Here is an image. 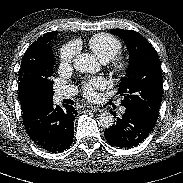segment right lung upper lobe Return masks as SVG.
<instances>
[{"instance_id": "cb5924a9", "label": "right lung upper lobe", "mask_w": 183, "mask_h": 183, "mask_svg": "<svg viewBox=\"0 0 183 183\" xmlns=\"http://www.w3.org/2000/svg\"><path fill=\"white\" fill-rule=\"evenodd\" d=\"M57 31L48 32L40 36L25 52L18 74L20 88L27 81L40 72V63L43 57L51 51L50 42L56 37Z\"/></svg>"}]
</instances>
